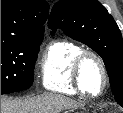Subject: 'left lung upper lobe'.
<instances>
[{"mask_svg":"<svg viewBox=\"0 0 123 113\" xmlns=\"http://www.w3.org/2000/svg\"><path fill=\"white\" fill-rule=\"evenodd\" d=\"M48 26L62 29L104 60L115 100L123 107V41L106 8L97 0H60L51 11Z\"/></svg>","mask_w":123,"mask_h":113,"instance_id":"obj_1","label":"left lung upper lobe"}]
</instances>
